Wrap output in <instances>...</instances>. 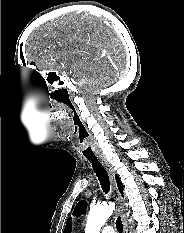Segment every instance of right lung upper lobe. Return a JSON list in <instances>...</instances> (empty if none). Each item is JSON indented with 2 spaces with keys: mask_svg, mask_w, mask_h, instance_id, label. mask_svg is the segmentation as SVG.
<instances>
[{
  "mask_svg": "<svg viewBox=\"0 0 184 233\" xmlns=\"http://www.w3.org/2000/svg\"><path fill=\"white\" fill-rule=\"evenodd\" d=\"M115 178H116L118 189H119L120 193L123 195V184L121 183L118 175H115ZM63 233H71L70 219H68L65 230Z\"/></svg>",
  "mask_w": 184,
  "mask_h": 233,
  "instance_id": "obj_1",
  "label": "right lung upper lobe"
}]
</instances>
